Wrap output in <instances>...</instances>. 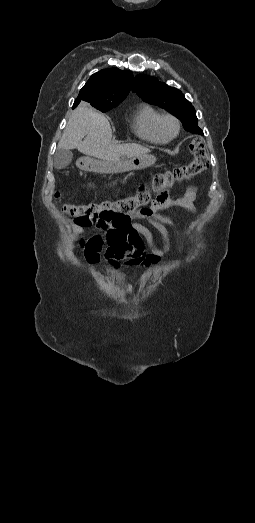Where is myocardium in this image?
Returning <instances> with one entry per match:
<instances>
[{
    "label": "myocardium",
    "mask_w": 255,
    "mask_h": 523,
    "mask_svg": "<svg viewBox=\"0 0 255 523\" xmlns=\"http://www.w3.org/2000/svg\"><path fill=\"white\" fill-rule=\"evenodd\" d=\"M168 124H171L174 128V132L171 134H169L166 129ZM158 128H159V131H160L162 137L165 140H172L175 137H177L180 132V129H181L180 120L178 119L177 116H175L172 113L162 114L158 121Z\"/></svg>",
    "instance_id": "obj_1"
}]
</instances>
